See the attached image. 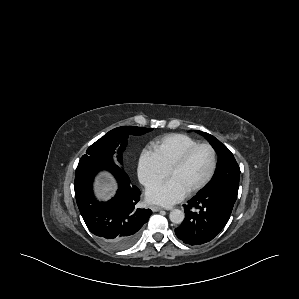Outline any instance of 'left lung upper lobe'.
<instances>
[{
    "mask_svg": "<svg viewBox=\"0 0 299 299\" xmlns=\"http://www.w3.org/2000/svg\"><path fill=\"white\" fill-rule=\"evenodd\" d=\"M197 132L202 134L211 143L214 150L218 154V163L215 174L212 180L203 189H201L199 193L205 191L223 190L237 197L240 168L233 154L214 136L202 131Z\"/></svg>",
    "mask_w": 299,
    "mask_h": 299,
    "instance_id": "left-lung-upper-lobe-1",
    "label": "left lung upper lobe"
}]
</instances>
